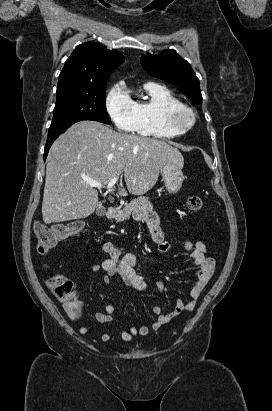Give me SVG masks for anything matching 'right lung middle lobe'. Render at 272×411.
<instances>
[{
    "label": "right lung middle lobe",
    "instance_id": "obj_1",
    "mask_svg": "<svg viewBox=\"0 0 272 411\" xmlns=\"http://www.w3.org/2000/svg\"><path fill=\"white\" fill-rule=\"evenodd\" d=\"M107 83L94 87L57 92L53 120L48 138L59 136L72 124L82 120H94L111 124L106 109Z\"/></svg>",
    "mask_w": 272,
    "mask_h": 411
}]
</instances>
